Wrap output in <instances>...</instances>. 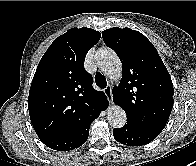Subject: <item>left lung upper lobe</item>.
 <instances>
[{"mask_svg": "<svg viewBox=\"0 0 196 166\" xmlns=\"http://www.w3.org/2000/svg\"><path fill=\"white\" fill-rule=\"evenodd\" d=\"M102 37L122 62L114 103L124 109L127 122L160 133L172 111L174 89L157 50L142 33L129 28L107 29Z\"/></svg>", "mask_w": 196, "mask_h": 166, "instance_id": "left-lung-upper-lobe-1", "label": "left lung upper lobe"}]
</instances>
